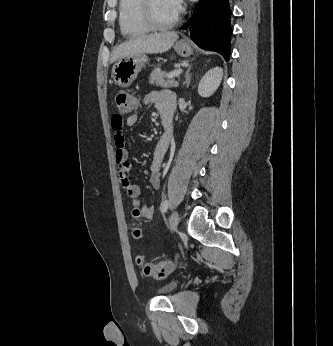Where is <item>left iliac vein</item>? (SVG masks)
Here are the masks:
<instances>
[{
	"label": "left iliac vein",
	"mask_w": 333,
	"mask_h": 346,
	"mask_svg": "<svg viewBox=\"0 0 333 346\" xmlns=\"http://www.w3.org/2000/svg\"><path fill=\"white\" fill-rule=\"evenodd\" d=\"M179 214L177 211H174L170 216L169 228L171 231H176L178 227Z\"/></svg>",
	"instance_id": "left-iliac-vein-1"
}]
</instances>
